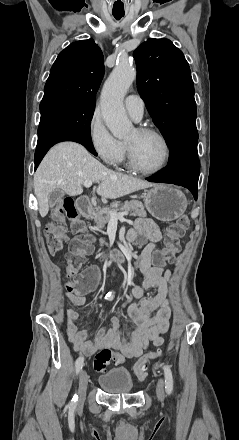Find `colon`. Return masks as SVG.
Masks as SVG:
<instances>
[{
    "instance_id": "colon-1",
    "label": "colon",
    "mask_w": 239,
    "mask_h": 440,
    "mask_svg": "<svg viewBox=\"0 0 239 440\" xmlns=\"http://www.w3.org/2000/svg\"><path fill=\"white\" fill-rule=\"evenodd\" d=\"M71 221L72 230L77 237L72 242L70 251L67 255L66 273L69 278H73L75 288L84 291L90 285L96 284L99 280L97 270L86 269L81 272L86 256L92 252V245L89 237L85 234V224L79 217L74 201L66 199L63 205L54 212L53 219L62 223L65 219ZM189 225V219L181 216L175 220L166 230L165 246L162 250L154 253L152 262L156 266H163L166 262L173 259L178 248L179 240L184 236ZM46 238L49 250L53 254L61 251L66 239L64 233L55 224H51L46 229ZM163 355L162 350L153 351L142 356L136 363L134 371L139 378L146 375V365ZM115 359L110 350L99 351L94 358V369L98 372L104 371Z\"/></svg>"
}]
</instances>
